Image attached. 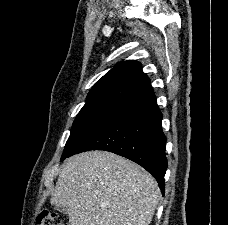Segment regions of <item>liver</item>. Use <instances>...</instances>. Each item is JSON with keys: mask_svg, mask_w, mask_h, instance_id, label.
<instances>
[{"mask_svg": "<svg viewBox=\"0 0 228 225\" xmlns=\"http://www.w3.org/2000/svg\"><path fill=\"white\" fill-rule=\"evenodd\" d=\"M155 179L128 159L87 151L62 165L51 205L70 225H150L160 201Z\"/></svg>", "mask_w": 228, "mask_h": 225, "instance_id": "liver-1", "label": "liver"}]
</instances>
